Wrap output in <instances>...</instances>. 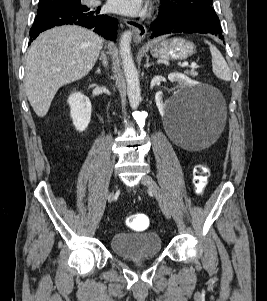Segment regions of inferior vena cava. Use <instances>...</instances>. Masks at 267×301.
<instances>
[{"label": "inferior vena cava", "mask_w": 267, "mask_h": 301, "mask_svg": "<svg viewBox=\"0 0 267 301\" xmlns=\"http://www.w3.org/2000/svg\"><path fill=\"white\" fill-rule=\"evenodd\" d=\"M105 65H106V63H107V61H106V59H105V57H104V62H103Z\"/></svg>", "instance_id": "inferior-vena-cava-1"}]
</instances>
